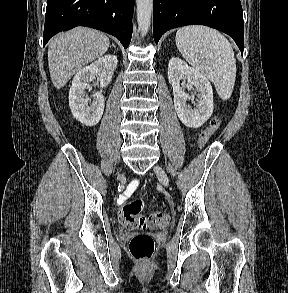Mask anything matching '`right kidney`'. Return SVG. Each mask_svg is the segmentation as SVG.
I'll return each instance as SVG.
<instances>
[{
  "instance_id": "ca27d5eb",
  "label": "right kidney",
  "mask_w": 288,
  "mask_h": 293,
  "mask_svg": "<svg viewBox=\"0 0 288 293\" xmlns=\"http://www.w3.org/2000/svg\"><path fill=\"white\" fill-rule=\"evenodd\" d=\"M117 62L116 55H105L80 69L74 76L69 91V106L73 116L84 125H96L104 111L102 92L95 93L91 101L85 92L88 83L98 76L100 87H106L111 82Z\"/></svg>"
}]
</instances>
